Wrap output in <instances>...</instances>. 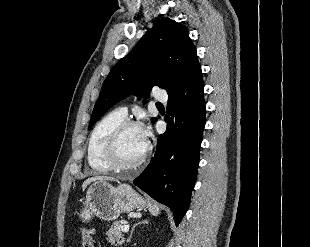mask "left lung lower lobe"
I'll use <instances>...</instances> for the list:
<instances>
[{"label": "left lung lower lobe", "mask_w": 310, "mask_h": 247, "mask_svg": "<svg viewBox=\"0 0 310 247\" xmlns=\"http://www.w3.org/2000/svg\"><path fill=\"white\" fill-rule=\"evenodd\" d=\"M204 82L199 67L168 93L167 129L159 135L154 157L133 183L168 206L179 225L190 203L205 126Z\"/></svg>", "instance_id": "left-lung-lower-lobe-1"}]
</instances>
